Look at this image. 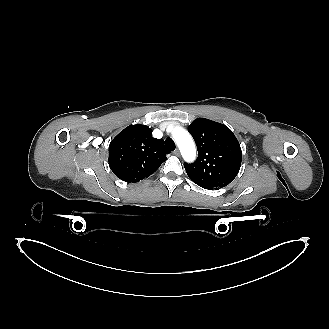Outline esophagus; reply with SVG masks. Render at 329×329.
I'll use <instances>...</instances> for the list:
<instances>
[{
    "label": "esophagus",
    "instance_id": "obj_1",
    "mask_svg": "<svg viewBox=\"0 0 329 329\" xmlns=\"http://www.w3.org/2000/svg\"><path fill=\"white\" fill-rule=\"evenodd\" d=\"M173 154L176 155V156H179L180 155V151L178 149H176V150L173 151Z\"/></svg>",
    "mask_w": 329,
    "mask_h": 329
}]
</instances>
